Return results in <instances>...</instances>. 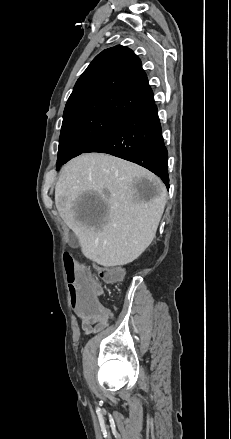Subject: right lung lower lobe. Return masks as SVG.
<instances>
[{
	"mask_svg": "<svg viewBox=\"0 0 231 439\" xmlns=\"http://www.w3.org/2000/svg\"><path fill=\"white\" fill-rule=\"evenodd\" d=\"M100 152L134 162L158 175L167 188L168 152L154 100L138 107L84 153Z\"/></svg>",
	"mask_w": 231,
	"mask_h": 439,
	"instance_id": "1",
	"label": "right lung lower lobe"
}]
</instances>
